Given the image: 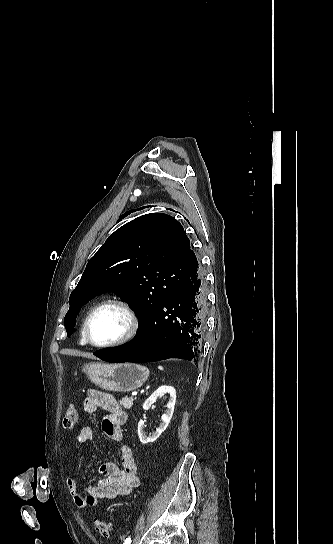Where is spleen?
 Here are the masks:
<instances>
[{
  "instance_id": "3e777b00",
  "label": "spleen",
  "mask_w": 333,
  "mask_h": 544,
  "mask_svg": "<svg viewBox=\"0 0 333 544\" xmlns=\"http://www.w3.org/2000/svg\"><path fill=\"white\" fill-rule=\"evenodd\" d=\"M158 368H159V370H163V367H162V366H159Z\"/></svg>"
}]
</instances>
